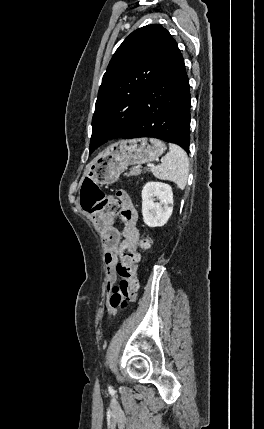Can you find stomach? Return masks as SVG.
I'll return each instance as SVG.
<instances>
[{"label":"stomach","instance_id":"obj_1","mask_svg":"<svg viewBox=\"0 0 264 429\" xmlns=\"http://www.w3.org/2000/svg\"><path fill=\"white\" fill-rule=\"evenodd\" d=\"M165 150L164 142L156 138L123 140L97 156L88 166L86 175L97 184L110 185L129 165L154 161Z\"/></svg>","mask_w":264,"mask_h":429}]
</instances>
